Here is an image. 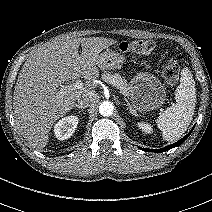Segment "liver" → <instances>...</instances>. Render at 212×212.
<instances>
[{
    "label": "liver",
    "mask_w": 212,
    "mask_h": 212,
    "mask_svg": "<svg viewBox=\"0 0 212 212\" xmlns=\"http://www.w3.org/2000/svg\"><path fill=\"white\" fill-rule=\"evenodd\" d=\"M114 43L103 37H62L29 54L13 95L16 125L28 142L44 147L53 124L74 107L81 93L97 87L99 54ZM81 76L86 80L82 89L62 90L64 82Z\"/></svg>",
    "instance_id": "1"
}]
</instances>
